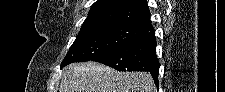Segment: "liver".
<instances>
[{"instance_id": "obj_1", "label": "liver", "mask_w": 225, "mask_h": 92, "mask_svg": "<svg viewBox=\"0 0 225 92\" xmlns=\"http://www.w3.org/2000/svg\"><path fill=\"white\" fill-rule=\"evenodd\" d=\"M149 72H119L96 62L74 63L62 74L59 92H155Z\"/></svg>"}]
</instances>
